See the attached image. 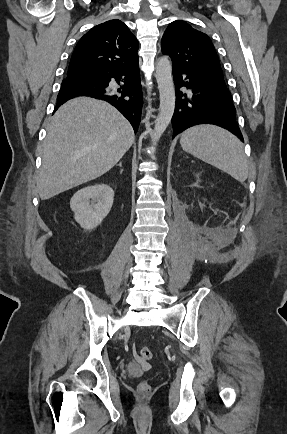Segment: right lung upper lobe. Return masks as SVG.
I'll return each instance as SVG.
<instances>
[{"mask_svg":"<svg viewBox=\"0 0 287 434\" xmlns=\"http://www.w3.org/2000/svg\"><path fill=\"white\" fill-rule=\"evenodd\" d=\"M138 41L128 27L113 19L93 27L77 43L66 79L138 64Z\"/></svg>","mask_w":287,"mask_h":434,"instance_id":"obj_1","label":"right lung upper lobe"}]
</instances>
